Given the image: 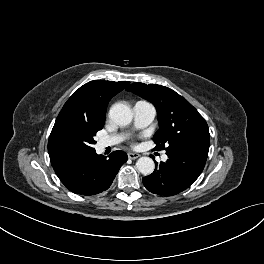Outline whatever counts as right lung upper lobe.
<instances>
[{
	"label": "right lung upper lobe",
	"mask_w": 264,
	"mask_h": 264,
	"mask_svg": "<svg viewBox=\"0 0 264 264\" xmlns=\"http://www.w3.org/2000/svg\"><path fill=\"white\" fill-rule=\"evenodd\" d=\"M128 84L129 82L126 81L94 80L81 86L60 111L49 140L66 121H78L102 128L105 123L108 102ZM51 163L56 162L51 161Z\"/></svg>",
	"instance_id": "1"
}]
</instances>
